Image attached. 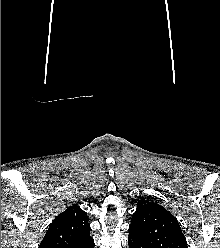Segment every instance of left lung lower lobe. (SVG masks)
Returning a JSON list of instances; mask_svg holds the SVG:
<instances>
[{
    "mask_svg": "<svg viewBox=\"0 0 220 248\" xmlns=\"http://www.w3.org/2000/svg\"><path fill=\"white\" fill-rule=\"evenodd\" d=\"M128 244L129 248H151L131 231H129Z\"/></svg>",
    "mask_w": 220,
    "mask_h": 248,
    "instance_id": "left-lung-lower-lobe-1",
    "label": "left lung lower lobe"
}]
</instances>
